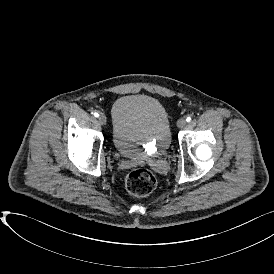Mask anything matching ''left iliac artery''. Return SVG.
<instances>
[{"mask_svg": "<svg viewBox=\"0 0 274 274\" xmlns=\"http://www.w3.org/2000/svg\"><path fill=\"white\" fill-rule=\"evenodd\" d=\"M186 121H187V122H190V121H191V117H187V118H186Z\"/></svg>", "mask_w": 274, "mask_h": 274, "instance_id": "obj_1", "label": "left iliac artery"}]
</instances>
